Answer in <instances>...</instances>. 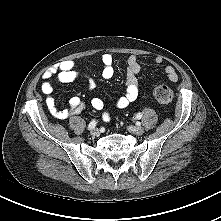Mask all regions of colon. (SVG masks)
<instances>
[{
	"label": "colon",
	"mask_w": 221,
	"mask_h": 221,
	"mask_svg": "<svg viewBox=\"0 0 221 221\" xmlns=\"http://www.w3.org/2000/svg\"><path fill=\"white\" fill-rule=\"evenodd\" d=\"M154 98L161 104H169L173 99L172 90L166 85H159L153 91Z\"/></svg>",
	"instance_id": "1"
}]
</instances>
